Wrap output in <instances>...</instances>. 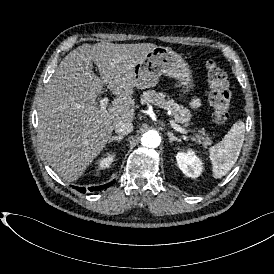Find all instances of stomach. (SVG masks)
I'll use <instances>...</instances> for the list:
<instances>
[{"label": "stomach", "mask_w": 274, "mask_h": 274, "mask_svg": "<svg viewBox=\"0 0 274 274\" xmlns=\"http://www.w3.org/2000/svg\"><path fill=\"white\" fill-rule=\"evenodd\" d=\"M134 72L140 90L154 87L162 75L174 79L184 94L195 90L196 80L191 66L181 54L169 47L157 46L135 66Z\"/></svg>", "instance_id": "1"}]
</instances>
